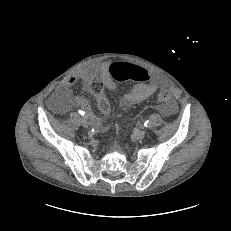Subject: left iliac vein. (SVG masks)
Segmentation results:
<instances>
[{
  "label": "left iliac vein",
  "mask_w": 231,
  "mask_h": 231,
  "mask_svg": "<svg viewBox=\"0 0 231 231\" xmlns=\"http://www.w3.org/2000/svg\"><path fill=\"white\" fill-rule=\"evenodd\" d=\"M146 135V131L145 130H135L134 131V137L136 139H143Z\"/></svg>",
  "instance_id": "obj_1"
}]
</instances>
